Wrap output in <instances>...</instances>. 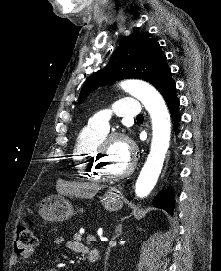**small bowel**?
<instances>
[{
	"mask_svg": "<svg viewBox=\"0 0 221 271\" xmlns=\"http://www.w3.org/2000/svg\"><path fill=\"white\" fill-rule=\"evenodd\" d=\"M54 243L57 246H63L65 245L67 247V249H69L70 251L74 252V253H78V254H84L87 255L88 258L92 256V254L95 252L94 250H89V248L84 245L80 240H71V241H66V239L62 236L57 237L54 240ZM35 248L34 247H30L25 249L24 251H22L20 254L15 253L11 256V264L12 265H16L19 261L20 256L23 258H30L35 254Z\"/></svg>",
	"mask_w": 221,
	"mask_h": 271,
	"instance_id": "1",
	"label": "small bowel"
}]
</instances>
